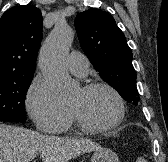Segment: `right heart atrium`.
Returning <instances> with one entry per match:
<instances>
[{
  "instance_id": "right-heart-atrium-1",
  "label": "right heart atrium",
  "mask_w": 168,
  "mask_h": 162,
  "mask_svg": "<svg viewBox=\"0 0 168 162\" xmlns=\"http://www.w3.org/2000/svg\"><path fill=\"white\" fill-rule=\"evenodd\" d=\"M25 104L31 119L41 132L57 133L70 123L69 109L57 99L52 88L42 79L33 80Z\"/></svg>"
}]
</instances>
